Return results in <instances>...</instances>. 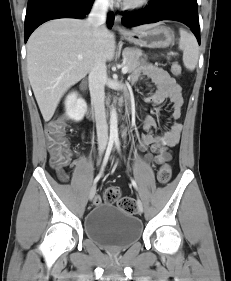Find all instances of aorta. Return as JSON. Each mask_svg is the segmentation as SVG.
<instances>
[{"instance_id": "aorta-1", "label": "aorta", "mask_w": 231, "mask_h": 281, "mask_svg": "<svg viewBox=\"0 0 231 281\" xmlns=\"http://www.w3.org/2000/svg\"><path fill=\"white\" fill-rule=\"evenodd\" d=\"M110 136L111 137L118 136V117L114 106H112V109L110 111Z\"/></svg>"}]
</instances>
